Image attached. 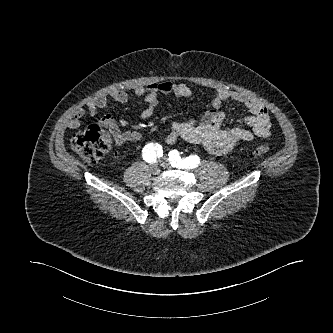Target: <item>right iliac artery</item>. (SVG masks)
<instances>
[{
	"instance_id": "1",
	"label": "right iliac artery",
	"mask_w": 333,
	"mask_h": 333,
	"mask_svg": "<svg viewBox=\"0 0 333 333\" xmlns=\"http://www.w3.org/2000/svg\"><path fill=\"white\" fill-rule=\"evenodd\" d=\"M143 158L148 163H155L157 161V157L160 158L163 155L162 146L154 143L147 144L142 151Z\"/></svg>"
}]
</instances>
